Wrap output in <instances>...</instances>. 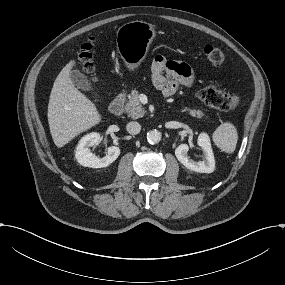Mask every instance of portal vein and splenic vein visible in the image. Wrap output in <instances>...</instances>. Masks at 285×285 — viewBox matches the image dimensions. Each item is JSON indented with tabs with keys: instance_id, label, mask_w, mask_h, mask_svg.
<instances>
[{
	"instance_id": "18ae733b",
	"label": "portal vein and splenic vein",
	"mask_w": 285,
	"mask_h": 285,
	"mask_svg": "<svg viewBox=\"0 0 285 285\" xmlns=\"http://www.w3.org/2000/svg\"><path fill=\"white\" fill-rule=\"evenodd\" d=\"M146 100H147L146 96L145 95H141L140 101L145 102Z\"/></svg>"
}]
</instances>
